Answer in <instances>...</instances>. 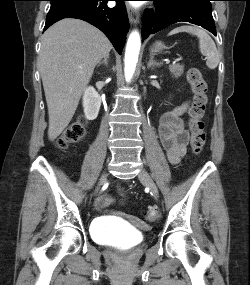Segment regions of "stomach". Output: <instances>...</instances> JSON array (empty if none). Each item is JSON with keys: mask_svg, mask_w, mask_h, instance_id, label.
Listing matches in <instances>:
<instances>
[{"mask_svg": "<svg viewBox=\"0 0 250 285\" xmlns=\"http://www.w3.org/2000/svg\"><path fill=\"white\" fill-rule=\"evenodd\" d=\"M164 48V45L161 42H156L151 48L152 52H160Z\"/></svg>", "mask_w": 250, "mask_h": 285, "instance_id": "stomach-1", "label": "stomach"}]
</instances>
